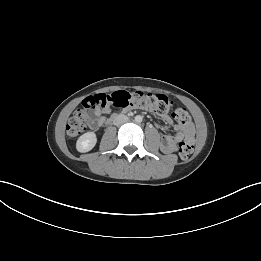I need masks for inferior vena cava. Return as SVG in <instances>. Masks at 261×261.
<instances>
[{
  "mask_svg": "<svg viewBox=\"0 0 261 261\" xmlns=\"http://www.w3.org/2000/svg\"><path fill=\"white\" fill-rule=\"evenodd\" d=\"M128 121V117L126 115H118L115 119H114V125H121L125 122Z\"/></svg>",
  "mask_w": 261,
  "mask_h": 261,
  "instance_id": "1",
  "label": "inferior vena cava"
}]
</instances>
